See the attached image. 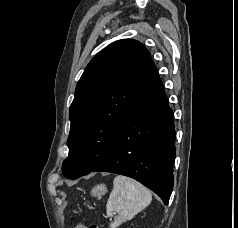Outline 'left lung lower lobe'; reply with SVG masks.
Returning <instances> with one entry per match:
<instances>
[{
  "label": "left lung lower lobe",
  "instance_id": "1",
  "mask_svg": "<svg viewBox=\"0 0 238 228\" xmlns=\"http://www.w3.org/2000/svg\"><path fill=\"white\" fill-rule=\"evenodd\" d=\"M157 68L131 114L121 127L113 152L97 167L68 177L76 179L94 171L125 175L141 182L167 205L173 188L175 129Z\"/></svg>",
  "mask_w": 238,
  "mask_h": 228
}]
</instances>
